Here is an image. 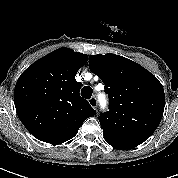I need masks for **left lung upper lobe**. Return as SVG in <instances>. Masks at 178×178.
<instances>
[{
	"label": "left lung upper lobe",
	"instance_id": "obj_1",
	"mask_svg": "<svg viewBox=\"0 0 178 178\" xmlns=\"http://www.w3.org/2000/svg\"><path fill=\"white\" fill-rule=\"evenodd\" d=\"M89 69L105 84L109 111L99 117L104 138L118 149L147 140L164 112V89L144 67L115 54L90 55Z\"/></svg>",
	"mask_w": 178,
	"mask_h": 178
}]
</instances>
